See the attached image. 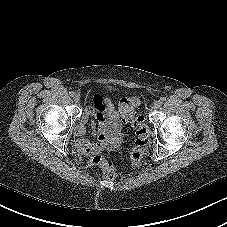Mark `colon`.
I'll return each mask as SVG.
<instances>
[{
    "instance_id": "obj_1",
    "label": "colon",
    "mask_w": 227,
    "mask_h": 227,
    "mask_svg": "<svg viewBox=\"0 0 227 227\" xmlns=\"http://www.w3.org/2000/svg\"><path fill=\"white\" fill-rule=\"evenodd\" d=\"M141 101L137 97L123 99L120 106L122 119L135 129L136 140L132 149L130 160L132 167H138L150 143V131L144 117L135 114L134 109L140 105ZM120 157L119 159H121ZM90 166H99L103 175L107 179H114L116 176V166L112 161H108L99 154H94L90 161Z\"/></svg>"
}]
</instances>
